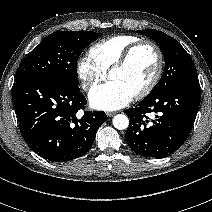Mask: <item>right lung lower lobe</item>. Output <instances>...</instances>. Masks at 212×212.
Segmentation results:
<instances>
[{
	"instance_id": "1",
	"label": "right lung lower lobe",
	"mask_w": 212,
	"mask_h": 212,
	"mask_svg": "<svg viewBox=\"0 0 212 212\" xmlns=\"http://www.w3.org/2000/svg\"><path fill=\"white\" fill-rule=\"evenodd\" d=\"M13 104L20 132L38 155L53 162L83 156L92 146L98 128L107 120L104 112L76 113L87 101L79 88L52 77L16 81Z\"/></svg>"
}]
</instances>
